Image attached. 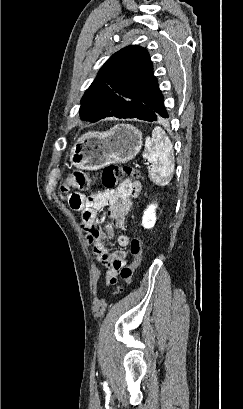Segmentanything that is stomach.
Listing matches in <instances>:
<instances>
[{
	"label": "stomach",
	"mask_w": 243,
	"mask_h": 409,
	"mask_svg": "<svg viewBox=\"0 0 243 409\" xmlns=\"http://www.w3.org/2000/svg\"><path fill=\"white\" fill-rule=\"evenodd\" d=\"M141 147V131L132 125L119 124L106 132L84 134L71 148L70 161L79 169L97 170L132 160Z\"/></svg>",
	"instance_id": "stomach-1"
}]
</instances>
